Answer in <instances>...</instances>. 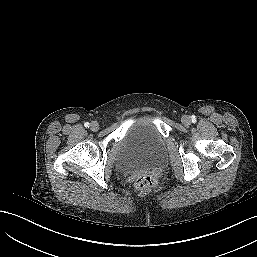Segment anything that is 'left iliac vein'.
<instances>
[{
    "instance_id": "obj_1",
    "label": "left iliac vein",
    "mask_w": 257,
    "mask_h": 257,
    "mask_svg": "<svg viewBox=\"0 0 257 257\" xmlns=\"http://www.w3.org/2000/svg\"><path fill=\"white\" fill-rule=\"evenodd\" d=\"M181 122H182L184 125H190V123H191V118H190L188 115H184V116H182V118H181Z\"/></svg>"
}]
</instances>
